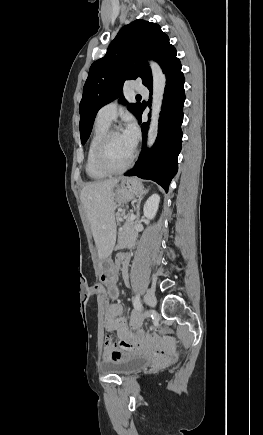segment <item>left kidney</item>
<instances>
[{"instance_id": "1", "label": "left kidney", "mask_w": 263, "mask_h": 435, "mask_svg": "<svg viewBox=\"0 0 263 435\" xmlns=\"http://www.w3.org/2000/svg\"><path fill=\"white\" fill-rule=\"evenodd\" d=\"M160 202L158 194L151 195L144 204V216L148 219H153L157 213Z\"/></svg>"}]
</instances>
